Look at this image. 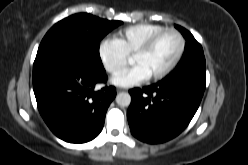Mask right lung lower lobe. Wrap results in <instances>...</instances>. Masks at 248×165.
Returning a JSON list of instances; mask_svg holds the SVG:
<instances>
[{"label": "right lung lower lobe", "instance_id": "obj_1", "mask_svg": "<svg viewBox=\"0 0 248 165\" xmlns=\"http://www.w3.org/2000/svg\"><path fill=\"white\" fill-rule=\"evenodd\" d=\"M106 80L105 70L96 68L79 49L62 48L36 56L33 89L38 109L57 137L85 143L101 132L116 96L114 86L94 90Z\"/></svg>", "mask_w": 248, "mask_h": 165}]
</instances>
